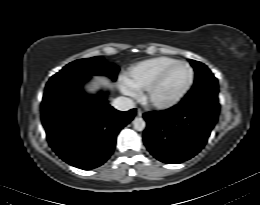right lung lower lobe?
<instances>
[{
	"instance_id": "98d812e1",
	"label": "right lung lower lobe",
	"mask_w": 260,
	"mask_h": 205,
	"mask_svg": "<svg viewBox=\"0 0 260 205\" xmlns=\"http://www.w3.org/2000/svg\"><path fill=\"white\" fill-rule=\"evenodd\" d=\"M89 78L52 77L42 101V123L49 145L65 162L85 170L110 157L117 134L135 115V109H114L105 96L84 94L81 87Z\"/></svg>"
}]
</instances>
